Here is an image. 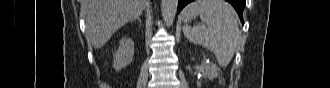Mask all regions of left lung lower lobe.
<instances>
[{
    "mask_svg": "<svg viewBox=\"0 0 330 88\" xmlns=\"http://www.w3.org/2000/svg\"><path fill=\"white\" fill-rule=\"evenodd\" d=\"M193 0H179V3H178V12L181 11V9L187 5L188 3L192 2ZM227 2H229L234 8L235 10L237 11L239 17H240V20L242 22V24H244V21H243V2L245 0H226Z\"/></svg>",
    "mask_w": 330,
    "mask_h": 88,
    "instance_id": "obj_1",
    "label": "left lung lower lobe"
}]
</instances>
